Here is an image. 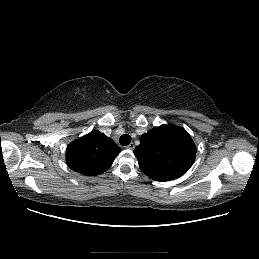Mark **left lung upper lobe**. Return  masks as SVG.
<instances>
[{"instance_id": "obj_1", "label": "left lung upper lobe", "mask_w": 259, "mask_h": 259, "mask_svg": "<svg viewBox=\"0 0 259 259\" xmlns=\"http://www.w3.org/2000/svg\"><path fill=\"white\" fill-rule=\"evenodd\" d=\"M134 154L147 176L156 181H170L190 169L196 157V147L185 129L161 125L141 136Z\"/></svg>"}]
</instances>
